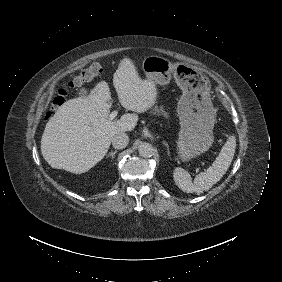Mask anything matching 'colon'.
<instances>
[{
	"label": "colon",
	"instance_id": "1",
	"mask_svg": "<svg viewBox=\"0 0 282 282\" xmlns=\"http://www.w3.org/2000/svg\"><path fill=\"white\" fill-rule=\"evenodd\" d=\"M106 64L103 61L97 60L92 62L87 68L81 70L75 75L73 82L70 84L71 87L80 86L84 83H88L95 78L99 77L105 70ZM67 91L64 89L58 90L51 100L49 109L44 115V118L48 120L52 115V110L61 106Z\"/></svg>",
	"mask_w": 282,
	"mask_h": 282
}]
</instances>
